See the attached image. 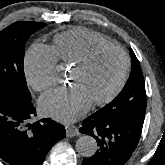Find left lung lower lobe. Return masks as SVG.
<instances>
[{
	"label": "left lung lower lobe",
	"mask_w": 165,
	"mask_h": 165,
	"mask_svg": "<svg viewBox=\"0 0 165 165\" xmlns=\"http://www.w3.org/2000/svg\"><path fill=\"white\" fill-rule=\"evenodd\" d=\"M142 127L139 123L89 116L80 132L93 136L98 150L84 159L82 165H124L137 147Z\"/></svg>",
	"instance_id": "obj_1"
}]
</instances>
